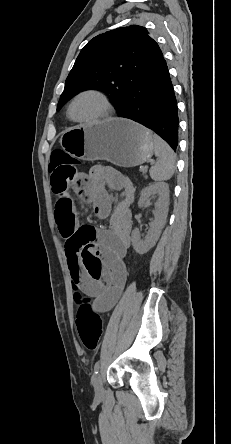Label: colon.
Returning <instances> with one entry per match:
<instances>
[{
	"instance_id": "1",
	"label": "colon",
	"mask_w": 231,
	"mask_h": 444,
	"mask_svg": "<svg viewBox=\"0 0 231 444\" xmlns=\"http://www.w3.org/2000/svg\"><path fill=\"white\" fill-rule=\"evenodd\" d=\"M79 161L63 150H55L51 154L49 172L51 181L57 186H64L72 182L78 175ZM79 234L83 237L94 235L95 229L91 226H81ZM78 304L77 328L80 339L88 350H95L100 344L103 335V319L92 311L89 299L76 292Z\"/></svg>"
}]
</instances>
